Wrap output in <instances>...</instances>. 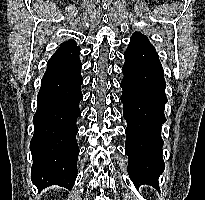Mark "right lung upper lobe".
<instances>
[{"label":"right lung upper lobe","mask_w":205,"mask_h":200,"mask_svg":"<svg viewBox=\"0 0 205 200\" xmlns=\"http://www.w3.org/2000/svg\"><path fill=\"white\" fill-rule=\"evenodd\" d=\"M75 47H77L76 42L74 40H68V41L62 43L60 45L59 49H61V48H75Z\"/></svg>","instance_id":"1"}]
</instances>
